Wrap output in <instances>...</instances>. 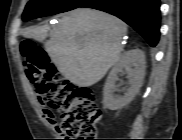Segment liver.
Wrapping results in <instances>:
<instances>
[{"label": "liver", "mask_w": 182, "mask_h": 140, "mask_svg": "<svg viewBox=\"0 0 182 140\" xmlns=\"http://www.w3.org/2000/svg\"><path fill=\"white\" fill-rule=\"evenodd\" d=\"M47 25L30 27L26 38L44 41V47L58 71L71 83L89 87L100 81L121 58L126 24L108 13L77 8L62 16L46 40Z\"/></svg>", "instance_id": "obj_1"}]
</instances>
